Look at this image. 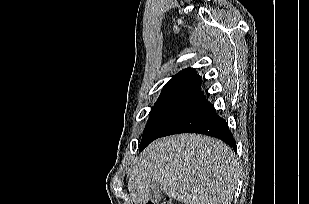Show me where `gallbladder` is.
<instances>
[{
	"label": "gallbladder",
	"instance_id": "obj_1",
	"mask_svg": "<svg viewBox=\"0 0 309 204\" xmlns=\"http://www.w3.org/2000/svg\"><path fill=\"white\" fill-rule=\"evenodd\" d=\"M162 186L158 182H152L149 187V200L157 202L162 197Z\"/></svg>",
	"mask_w": 309,
	"mask_h": 204
}]
</instances>
